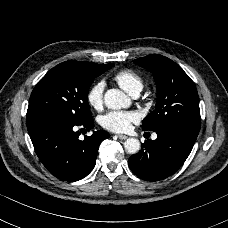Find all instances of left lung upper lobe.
<instances>
[{
  "label": "left lung upper lobe",
  "mask_w": 228,
  "mask_h": 228,
  "mask_svg": "<svg viewBox=\"0 0 228 228\" xmlns=\"http://www.w3.org/2000/svg\"><path fill=\"white\" fill-rule=\"evenodd\" d=\"M149 70L157 85L155 110L142 122L144 131L179 128L199 133L200 109L196 86L184 70L167 57L152 54L134 60Z\"/></svg>",
  "instance_id": "obj_1"
}]
</instances>
